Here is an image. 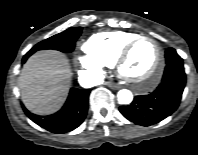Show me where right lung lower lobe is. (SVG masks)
<instances>
[{"mask_svg":"<svg viewBox=\"0 0 198 155\" xmlns=\"http://www.w3.org/2000/svg\"><path fill=\"white\" fill-rule=\"evenodd\" d=\"M27 56L22 62L25 63ZM91 89L79 90L72 88L69 97L57 113L49 116H38L24 108L25 114L40 127L52 133H66L77 128L86 117L88 97Z\"/></svg>","mask_w":198,"mask_h":155,"instance_id":"obj_1","label":"right lung lower lobe"}]
</instances>
